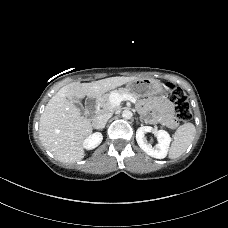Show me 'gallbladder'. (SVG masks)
Returning <instances> with one entry per match:
<instances>
[{"instance_id": "obj_1", "label": "gallbladder", "mask_w": 228, "mask_h": 228, "mask_svg": "<svg viewBox=\"0 0 228 228\" xmlns=\"http://www.w3.org/2000/svg\"><path fill=\"white\" fill-rule=\"evenodd\" d=\"M71 101H72V103L75 104V106L77 107V109L79 111H84V108L80 102H78L76 99H71Z\"/></svg>"}]
</instances>
